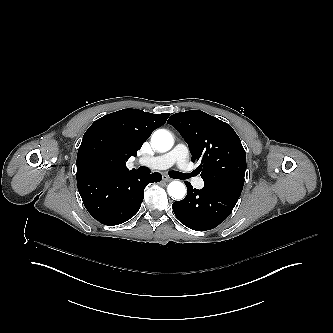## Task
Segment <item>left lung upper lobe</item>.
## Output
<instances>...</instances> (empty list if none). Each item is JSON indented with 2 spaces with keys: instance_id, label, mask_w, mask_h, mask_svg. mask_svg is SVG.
I'll return each instance as SVG.
<instances>
[{
  "instance_id": "left-lung-upper-lobe-1",
  "label": "left lung upper lobe",
  "mask_w": 333,
  "mask_h": 333,
  "mask_svg": "<svg viewBox=\"0 0 333 333\" xmlns=\"http://www.w3.org/2000/svg\"><path fill=\"white\" fill-rule=\"evenodd\" d=\"M168 123L185 139L192 154L200 160L204 187L242 192L246 170V153L233 128L198 110L173 114Z\"/></svg>"
}]
</instances>
